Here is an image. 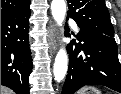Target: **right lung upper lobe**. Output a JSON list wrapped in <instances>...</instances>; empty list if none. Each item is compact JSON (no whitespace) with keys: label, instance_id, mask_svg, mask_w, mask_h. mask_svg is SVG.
I'll return each mask as SVG.
<instances>
[{"label":"right lung upper lobe","instance_id":"cb5924a9","mask_svg":"<svg viewBox=\"0 0 121 94\" xmlns=\"http://www.w3.org/2000/svg\"><path fill=\"white\" fill-rule=\"evenodd\" d=\"M30 0H1V17L29 7Z\"/></svg>","mask_w":121,"mask_h":94}]
</instances>
